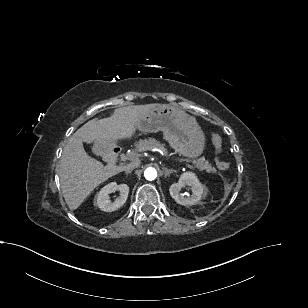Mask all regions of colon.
Listing matches in <instances>:
<instances>
[{
	"label": "colon",
	"instance_id": "1",
	"mask_svg": "<svg viewBox=\"0 0 308 308\" xmlns=\"http://www.w3.org/2000/svg\"><path fill=\"white\" fill-rule=\"evenodd\" d=\"M212 142L217 151L216 164L219 169L226 170L230 167V163L221 155L222 152V138L218 134H212Z\"/></svg>",
	"mask_w": 308,
	"mask_h": 308
}]
</instances>
